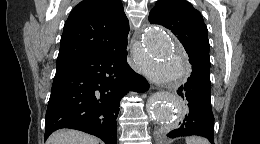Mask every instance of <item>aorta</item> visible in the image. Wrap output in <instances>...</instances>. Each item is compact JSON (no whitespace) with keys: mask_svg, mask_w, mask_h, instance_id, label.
I'll return each mask as SVG.
<instances>
[{"mask_svg":"<svg viewBox=\"0 0 260 144\" xmlns=\"http://www.w3.org/2000/svg\"><path fill=\"white\" fill-rule=\"evenodd\" d=\"M144 57L137 60L145 76L157 84H173L186 74V58L181 47L164 28L150 25L143 34ZM181 99L174 93H156L148 99L152 120L177 125L182 118Z\"/></svg>","mask_w":260,"mask_h":144,"instance_id":"obj_1","label":"aorta"}]
</instances>
